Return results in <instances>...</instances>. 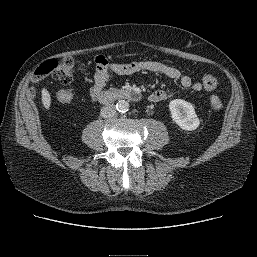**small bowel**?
<instances>
[{"mask_svg": "<svg viewBox=\"0 0 257 257\" xmlns=\"http://www.w3.org/2000/svg\"><path fill=\"white\" fill-rule=\"evenodd\" d=\"M95 62L97 68L94 77L95 83L91 89L92 98H96L106 86L109 80V70L118 75H132L142 71L162 74L169 79L178 81L183 88L193 91H200L203 87L200 82H194L189 76L182 75L178 69L158 61L144 60L131 63H109L106 58L99 56ZM167 97L168 93L166 91L156 90L150 94L149 100L156 103L167 99Z\"/></svg>", "mask_w": 257, "mask_h": 257, "instance_id": "c3829d8e", "label": "small bowel"}]
</instances>
